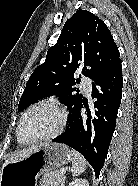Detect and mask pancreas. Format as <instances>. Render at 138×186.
I'll list each match as a JSON object with an SVG mask.
<instances>
[{
  "label": "pancreas",
  "mask_w": 138,
  "mask_h": 186,
  "mask_svg": "<svg viewBox=\"0 0 138 186\" xmlns=\"http://www.w3.org/2000/svg\"><path fill=\"white\" fill-rule=\"evenodd\" d=\"M65 177L60 175V171H53L50 173L44 174L41 179L40 186H64Z\"/></svg>",
  "instance_id": "obj_1"
}]
</instances>
